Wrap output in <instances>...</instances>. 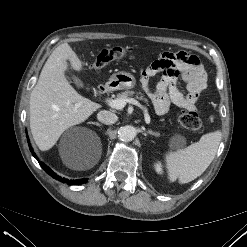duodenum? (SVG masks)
<instances>
[{"mask_svg":"<svg viewBox=\"0 0 247 247\" xmlns=\"http://www.w3.org/2000/svg\"><path fill=\"white\" fill-rule=\"evenodd\" d=\"M100 89L103 92H109L112 89V85L107 83V84L102 85Z\"/></svg>","mask_w":247,"mask_h":247,"instance_id":"1","label":"duodenum"}]
</instances>
